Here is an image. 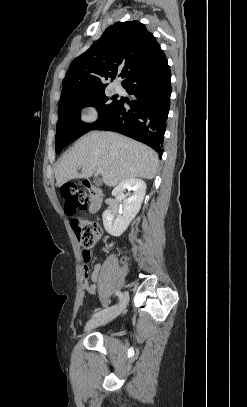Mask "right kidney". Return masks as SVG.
Listing matches in <instances>:
<instances>
[{"mask_svg": "<svg viewBox=\"0 0 247 407\" xmlns=\"http://www.w3.org/2000/svg\"><path fill=\"white\" fill-rule=\"evenodd\" d=\"M132 191L127 197L125 190ZM146 193V183L137 178H129L121 181L112 191V196L117 201H123L121 212L105 210L103 212V225L105 230L112 236L119 237L128 228L141 208Z\"/></svg>", "mask_w": 247, "mask_h": 407, "instance_id": "right-kidney-1", "label": "right kidney"}]
</instances>
